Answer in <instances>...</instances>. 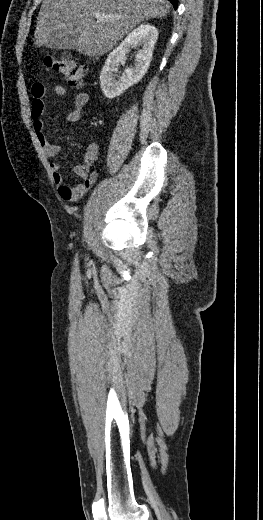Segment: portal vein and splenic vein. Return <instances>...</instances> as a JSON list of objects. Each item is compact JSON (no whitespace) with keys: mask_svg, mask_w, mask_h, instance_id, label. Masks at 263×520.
Segmentation results:
<instances>
[{"mask_svg":"<svg viewBox=\"0 0 263 520\" xmlns=\"http://www.w3.org/2000/svg\"><path fill=\"white\" fill-rule=\"evenodd\" d=\"M95 18H97L99 20H103V19L115 20V19H118L119 17L115 16V15H105L104 13H95Z\"/></svg>","mask_w":263,"mask_h":520,"instance_id":"obj_1","label":"portal vein and splenic vein"}]
</instances>
